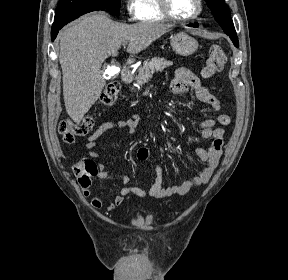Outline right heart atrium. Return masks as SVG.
<instances>
[{"label":"right heart atrium","instance_id":"obj_1","mask_svg":"<svg viewBox=\"0 0 288 280\" xmlns=\"http://www.w3.org/2000/svg\"><path fill=\"white\" fill-rule=\"evenodd\" d=\"M124 10L128 19L137 20L139 17V0H124Z\"/></svg>","mask_w":288,"mask_h":280}]
</instances>
